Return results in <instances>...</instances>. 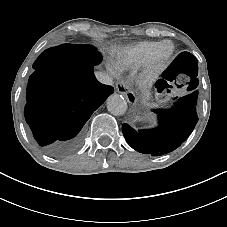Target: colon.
Listing matches in <instances>:
<instances>
[{
    "mask_svg": "<svg viewBox=\"0 0 227 227\" xmlns=\"http://www.w3.org/2000/svg\"><path fill=\"white\" fill-rule=\"evenodd\" d=\"M196 69L195 57L190 53H181L167 68L159 84V89H164L171 83L189 88L193 84Z\"/></svg>",
    "mask_w": 227,
    "mask_h": 227,
    "instance_id": "colon-1",
    "label": "colon"
}]
</instances>
